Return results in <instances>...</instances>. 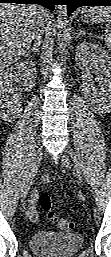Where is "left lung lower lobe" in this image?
I'll list each match as a JSON object with an SVG mask.
<instances>
[{
    "instance_id": "0a47b994",
    "label": "left lung lower lobe",
    "mask_w": 111,
    "mask_h": 257,
    "mask_svg": "<svg viewBox=\"0 0 111 257\" xmlns=\"http://www.w3.org/2000/svg\"><path fill=\"white\" fill-rule=\"evenodd\" d=\"M68 15L81 6H111V0H66Z\"/></svg>"
}]
</instances>
